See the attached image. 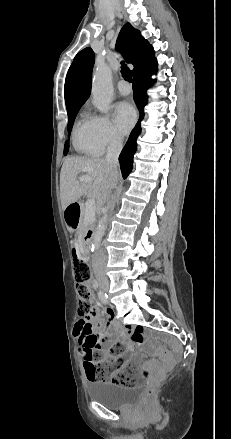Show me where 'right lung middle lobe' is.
<instances>
[{
    "label": "right lung middle lobe",
    "mask_w": 231,
    "mask_h": 439,
    "mask_svg": "<svg viewBox=\"0 0 231 439\" xmlns=\"http://www.w3.org/2000/svg\"><path fill=\"white\" fill-rule=\"evenodd\" d=\"M79 109H80V107H76V108L67 110V113H68V126H67V128H68V131H69V135H70V131L72 129L75 117H76ZM68 149H69V142H66L65 143V147H64V155L67 154Z\"/></svg>",
    "instance_id": "right-lung-middle-lobe-1"
}]
</instances>
